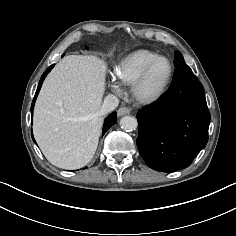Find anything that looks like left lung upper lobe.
<instances>
[{"mask_svg":"<svg viewBox=\"0 0 236 236\" xmlns=\"http://www.w3.org/2000/svg\"><path fill=\"white\" fill-rule=\"evenodd\" d=\"M185 61L184 58L182 56V54L178 51L175 52V60H174V65L175 67H178L180 65H185Z\"/></svg>","mask_w":236,"mask_h":236,"instance_id":"obj_1","label":"left lung upper lobe"}]
</instances>
